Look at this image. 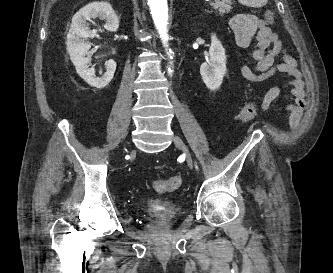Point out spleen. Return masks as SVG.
Listing matches in <instances>:
<instances>
[{
    "label": "spleen",
    "mask_w": 333,
    "mask_h": 273,
    "mask_svg": "<svg viewBox=\"0 0 333 273\" xmlns=\"http://www.w3.org/2000/svg\"><path fill=\"white\" fill-rule=\"evenodd\" d=\"M238 2L249 7H261L264 6L268 0H238Z\"/></svg>",
    "instance_id": "spleen-1"
}]
</instances>
